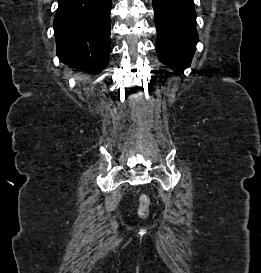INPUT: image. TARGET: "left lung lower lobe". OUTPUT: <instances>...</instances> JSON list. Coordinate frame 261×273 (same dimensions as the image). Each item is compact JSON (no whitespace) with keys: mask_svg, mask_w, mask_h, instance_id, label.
I'll return each instance as SVG.
<instances>
[{"mask_svg":"<svg viewBox=\"0 0 261 273\" xmlns=\"http://www.w3.org/2000/svg\"><path fill=\"white\" fill-rule=\"evenodd\" d=\"M159 60L179 73L190 66L198 34L193 0H154Z\"/></svg>","mask_w":261,"mask_h":273,"instance_id":"0a47b994","label":"left lung lower lobe"}]
</instances>
